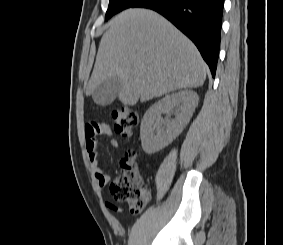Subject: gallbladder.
<instances>
[{"instance_id": "gallbladder-1", "label": "gallbladder", "mask_w": 283, "mask_h": 245, "mask_svg": "<svg viewBox=\"0 0 283 245\" xmlns=\"http://www.w3.org/2000/svg\"><path fill=\"white\" fill-rule=\"evenodd\" d=\"M121 87L122 81L118 77L110 78L95 88L92 98L97 105H109L116 99Z\"/></svg>"}]
</instances>
